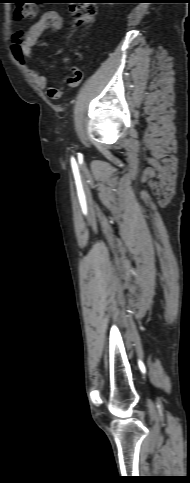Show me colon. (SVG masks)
<instances>
[{"instance_id":"obj_1","label":"colon","mask_w":190,"mask_h":483,"mask_svg":"<svg viewBox=\"0 0 190 483\" xmlns=\"http://www.w3.org/2000/svg\"><path fill=\"white\" fill-rule=\"evenodd\" d=\"M14 9V16L17 19H29L36 15L37 0H17ZM71 11L73 14L72 24L74 26H84L91 24L96 15V7L94 4L84 0H74L71 2ZM66 82L71 84L73 78H67Z\"/></svg>"}]
</instances>
